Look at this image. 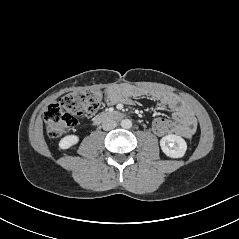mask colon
Here are the masks:
<instances>
[{
    "label": "colon",
    "mask_w": 239,
    "mask_h": 239,
    "mask_svg": "<svg viewBox=\"0 0 239 239\" xmlns=\"http://www.w3.org/2000/svg\"><path fill=\"white\" fill-rule=\"evenodd\" d=\"M103 97L102 91L89 89L66 94L58 103L50 104L44 112L48 135L57 138L73 129L81 118L99 110ZM171 131L172 122L166 116H157L151 122L156 137H166Z\"/></svg>",
    "instance_id": "5ec220e1"
}]
</instances>
